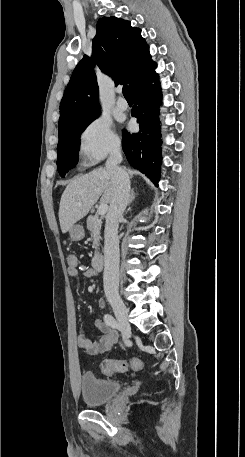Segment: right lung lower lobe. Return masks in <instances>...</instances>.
Instances as JSON below:
<instances>
[{"mask_svg":"<svg viewBox=\"0 0 245 457\" xmlns=\"http://www.w3.org/2000/svg\"><path fill=\"white\" fill-rule=\"evenodd\" d=\"M158 81L155 72L137 82L131 89L134 106L131 116L140 125L138 133L123 131L122 147L129 163L146 174L156 185L160 178L161 139L159 131V107L161 105L160 87L152 82Z\"/></svg>","mask_w":245,"mask_h":457,"instance_id":"right-lung-lower-lobe-1","label":"right lung lower lobe"}]
</instances>
